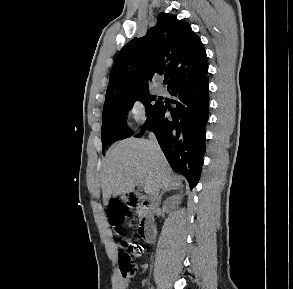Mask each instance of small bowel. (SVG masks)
I'll list each match as a JSON object with an SVG mask.
<instances>
[{"label":"small bowel","instance_id":"1","mask_svg":"<svg viewBox=\"0 0 293 289\" xmlns=\"http://www.w3.org/2000/svg\"><path fill=\"white\" fill-rule=\"evenodd\" d=\"M145 268H146V265H141L140 268H139V270H140V271H144ZM127 285H128V282L125 281V282L123 283V288H126Z\"/></svg>","mask_w":293,"mask_h":289}]
</instances>
